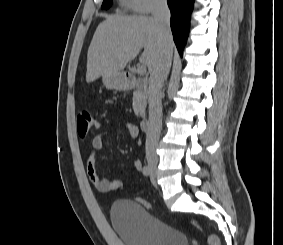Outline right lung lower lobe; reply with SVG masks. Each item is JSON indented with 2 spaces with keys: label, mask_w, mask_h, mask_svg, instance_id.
<instances>
[{
  "label": "right lung lower lobe",
  "mask_w": 283,
  "mask_h": 245,
  "mask_svg": "<svg viewBox=\"0 0 283 245\" xmlns=\"http://www.w3.org/2000/svg\"><path fill=\"white\" fill-rule=\"evenodd\" d=\"M167 3L171 11L173 39L179 54L182 55L189 33L190 13L194 0H167Z\"/></svg>",
  "instance_id": "98d812e1"
}]
</instances>
